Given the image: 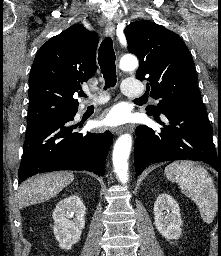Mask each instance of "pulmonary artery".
<instances>
[{
    "mask_svg": "<svg viewBox=\"0 0 221 256\" xmlns=\"http://www.w3.org/2000/svg\"><path fill=\"white\" fill-rule=\"evenodd\" d=\"M123 93L128 97H140L145 93L143 84L136 79H126L122 85ZM106 98H101L97 101V104H101ZM84 108V106L82 107Z\"/></svg>",
    "mask_w": 221,
    "mask_h": 256,
    "instance_id": "obj_1",
    "label": "pulmonary artery"
}]
</instances>
